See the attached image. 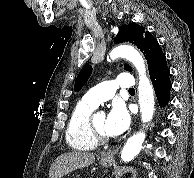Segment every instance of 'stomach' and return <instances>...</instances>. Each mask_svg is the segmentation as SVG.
<instances>
[{
    "instance_id": "1",
    "label": "stomach",
    "mask_w": 194,
    "mask_h": 178,
    "mask_svg": "<svg viewBox=\"0 0 194 178\" xmlns=\"http://www.w3.org/2000/svg\"><path fill=\"white\" fill-rule=\"evenodd\" d=\"M113 162H114L113 158H108V159L100 158V164L104 167L111 166Z\"/></svg>"
}]
</instances>
